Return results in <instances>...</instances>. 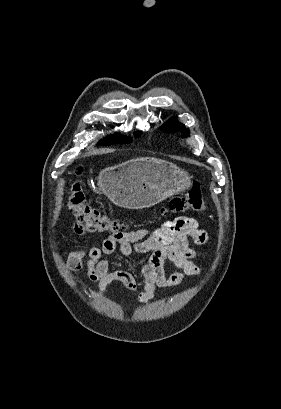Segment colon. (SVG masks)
Listing matches in <instances>:
<instances>
[{
    "label": "colon",
    "mask_w": 281,
    "mask_h": 409,
    "mask_svg": "<svg viewBox=\"0 0 281 409\" xmlns=\"http://www.w3.org/2000/svg\"><path fill=\"white\" fill-rule=\"evenodd\" d=\"M83 171L82 167H77L74 172L75 178L81 177ZM67 207L76 218L77 232L87 229L93 233L111 235L127 231V226L112 214L93 208L86 203L85 193L77 180L73 181L69 187ZM169 208L173 212L203 211L205 203L200 189L197 186H191L184 197L171 201ZM162 212H165V209Z\"/></svg>",
    "instance_id": "5ec220e1"
}]
</instances>
